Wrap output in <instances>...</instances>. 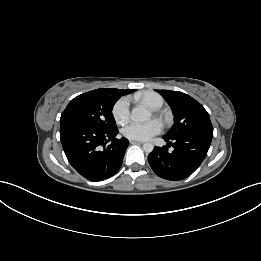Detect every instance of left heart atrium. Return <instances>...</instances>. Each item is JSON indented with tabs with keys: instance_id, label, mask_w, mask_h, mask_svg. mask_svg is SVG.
Listing matches in <instances>:
<instances>
[{
	"instance_id": "1",
	"label": "left heart atrium",
	"mask_w": 261,
	"mask_h": 261,
	"mask_svg": "<svg viewBox=\"0 0 261 261\" xmlns=\"http://www.w3.org/2000/svg\"><path fill=\"white\" fill-rule=\"evenodd\" d=\"M162 130V123L158 120H151L146 123L131 122L127 124L122 134L131 140L145 141L157 135Z\"/></svg>"
}]
</instances>
